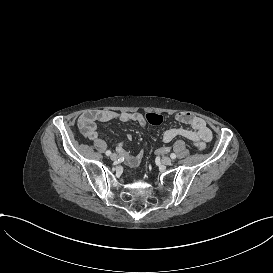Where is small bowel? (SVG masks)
Segmentation results:
<instances>
[{"label": "small bowel", "mask_w": 273, "mask_h": 273, "mask_svg": "<svg viewBox=\"0 0 273 273\" xmlns=\"http://www.w3.org/2000/svg\"><path fill=\"white\" fill-rule=\"evenodd\" d=\"M176 121L184 123L190 126V128L184 127H172L165 130L162 134V141L169 143L178 137H183L190 140L198 149L205 148V144L212 140L213 134L208 127L206 121L198 116L190 113L182 112L175 116ZM118 120L123 123L135 122L140 126H145L147 121L142 113L135 112H117L113 110H98L83 113L76 122L77 131L75 136L79 140H84L85 143L90 144L93 141L96 142L99 147L100 153L105 154L108 152L109 147L103 143L100 133L97 130V122H108ZM131 139V136L128 137ZM116 148L119 151L124 163L129 168H136L135 166V154H130L123 149V143L116 144Z\"/></svg>", "instance_id": "c3829d8e"}]
</instances>
